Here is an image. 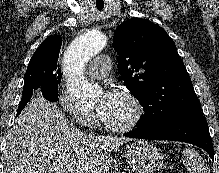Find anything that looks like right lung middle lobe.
I'll list each match as a JSON object with an SVG mask.
<instances>
[{"mask_svg": "<svg viewBox=\"0 0 219 173\" xmlns=\"http://www.w3.org/2000/svg\"><path fill=\"white\" fill-rule=\"evenodd\" d=\"M60 81L61 76L56 69L28 65L24 75L22 96L37 92L42 94L47 100L57 102Z\"/></svg>", "mask_w": 219, "mask_h": 173, "instance_id": "dd1d6c3e", "label": "right lung middle lobe"}]
</instances>
